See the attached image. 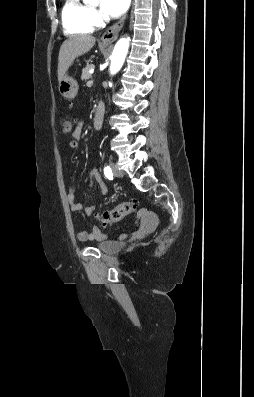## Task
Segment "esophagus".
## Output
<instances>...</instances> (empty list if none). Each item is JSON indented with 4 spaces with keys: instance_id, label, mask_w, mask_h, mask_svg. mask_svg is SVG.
<instances>
[{
    "instance_id": "obj_1",
    "label": "esophagus",
    "mask_w": 254,
    "mask_h": 397,
    "mask_svg": "<svg viewBox=\"0 0 254 397\" xmlns=\"http://www.w3.org/2000/svg\"><path fill=\"white\" fill-rule=\"evenodd\" d=\"M125 19L126 16H123L117 23L109 27L101 36V41L103 43L114 42L117 39L118 34L124 25Z\"/></svg>"
}]
</instances>
